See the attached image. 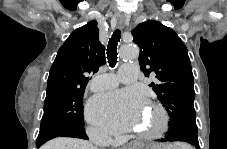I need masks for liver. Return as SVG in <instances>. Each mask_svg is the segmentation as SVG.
<instances>
[{
    "label": "liver",
    "instance_id": "6515ba94",
    "mask_svg": "<svg viewBox=\"0 0 227 149\" xmlns=\"http://www.w3.org/2000/svg\"><path fill=\"white\" fill-rule=\"evenodd\" d=\"M173 148L174 146H165ZM41 149H97L88 141H83L75 138L58 137L48 141Z\"/></svg>",
    "mask_w": 227,
    "mask_h": 149
}]
</instances>
